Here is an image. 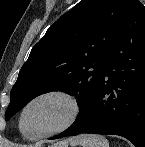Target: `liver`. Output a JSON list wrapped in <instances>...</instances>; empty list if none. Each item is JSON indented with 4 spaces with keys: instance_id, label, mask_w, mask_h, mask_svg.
<instances>
[{
    "instance_id": "obj_1",
    "label": "liver",
    "mask_w": 145,
    "mask_h": 147,
    "mask_svg": "<svg viewBox=\"0 0 145 147\" xmlns=\"http://www.w3.org/2000/svg\"><path fill=\"white\" fill-rule=\"evenodd\" d=\"M76 139H77V137H76V138H73V139H69V140L63 141V142H60V143L54 145L53 147H67L68 144H69V142H70L72 145H74L75 142H76Z\"/></svg>"
}]
</instances>
